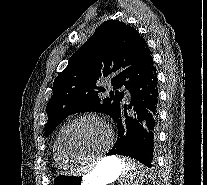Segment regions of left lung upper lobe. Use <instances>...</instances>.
<instances>
[{"label": "left lung upper lobe", "instance_id": "obj_1", "mask_svg": "<svg viewBox=\"0 0 207 185\" xmlns=\"http://www.w3.org/2000/svg\"><path fill=\"white\" fill-rule=\"evenodd\" d=\"M152 65L149 48L134 28L117 20L102 23L55 78L45 136L77 112H103L115 120L124 101V93L117 89H129ZM104 78L109 79L113 90L103 99L99 94L106 90L97 84Z\"/></svg>", "mask_w": 207, "mask_h": 185}]
</instances>
